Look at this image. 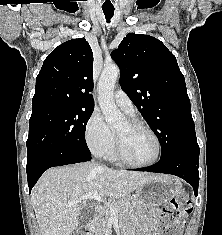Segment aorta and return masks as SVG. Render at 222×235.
<instances>
[{
    "label": "aorta",
    "mask_w": 222,
    "mask_h": 235,
    "mask_svg": "<svg viewBox=\"0 0 222 235\" xmlns=\"http://www.w3.org/2000/svg\"><path fill=\"white\" fill-rule=\"evenodd\" d=\"M120 71L116 65L105 66L98 83L99 106L106 122L111 126L120 124L124 117L114 102L113 90Z\"/></svg>",
    "instance_id": "1"
}]
</instances>
